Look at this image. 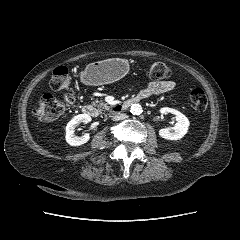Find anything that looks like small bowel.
Here are the masks:
<instances>
[{
    "mask_svg": "<svg viewBox=\"0 0 240 240\" xmlns=\"http://www.w3.org/2000/svg\"><path fill=\"white\" fill-rule=\"evenodd\" d=\"M176 89V84L173 81H152L144 89H142L139 95L142 98H147L153 95L164 94Z\"/></svg>",
    "mask_w": 240,
    "mask_h": 240,
    "instance_id": "small-bowel-1",
    "label": "small bowel"
}]
</instances>
